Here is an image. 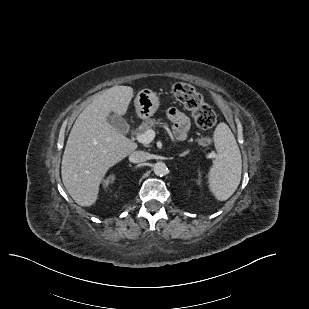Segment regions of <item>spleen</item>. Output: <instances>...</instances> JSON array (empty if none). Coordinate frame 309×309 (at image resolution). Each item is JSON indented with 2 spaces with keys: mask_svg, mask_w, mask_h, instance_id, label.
<instances>
[{
  "mask_svg": "<svg viewBox=\"0 0 309 309\" xmlns=\"http://www.w3.org/2000/svg\"><path fill=\"white\" fill-rule=\"evenodd\" d=\"M217 156L208 173L209 189L219 201L229 199L240 183L242 159L239 147L229 126L224 122L214 131Z\"/></svg>",
  "mask_w": 309,
  "mask_h": 309,
  "instance_id": "obj_1",
  "label": "spleen"
}]
</instances>
